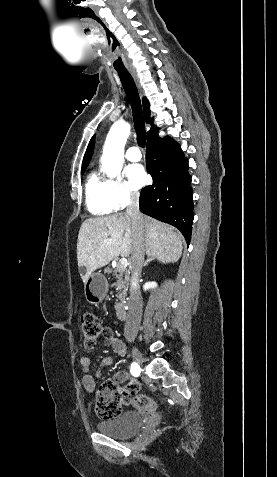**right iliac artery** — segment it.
Listing matches in <instances>:
<instances>
[{
	"instance_id": "1",
	"label": "right iliac artery",
	"mask_w": 277,
	"mask_h": 477,
	"mask_svg": "<svg viewBox=\"0 0 277 477\" xmlns=\"http://www.w3.org/2000/svg\"><path fill=\"white\" fill-rule=\"evenodd\" d=\"M139 371V366L136 363L131 364V373L136 374Z\"/></svg>"
}]
</instances>
